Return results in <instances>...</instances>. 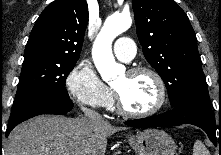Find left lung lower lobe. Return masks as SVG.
<instances>
[{
	"mask_svg": "<svg viewBox=\"0 0 221 155\" xmlns=\"http://www.w3.org/2000/svg\"><path fill=\"white\" fill-rule=\"evenodd\" d=\"M126 125L136 128L159 127L165 125L178 126L192 124L202 128L216 145L215 115L211 110L208 89L194 91L173 107L160 115L130 120ZM221 144V135L219 137Z\"/></svg>",
	"mask_w": 221,
	"mask_h": 155,
	"instance_id": "obj_1",
	"label": "left lung lower lobe"
}]
</instances>
